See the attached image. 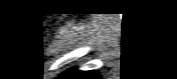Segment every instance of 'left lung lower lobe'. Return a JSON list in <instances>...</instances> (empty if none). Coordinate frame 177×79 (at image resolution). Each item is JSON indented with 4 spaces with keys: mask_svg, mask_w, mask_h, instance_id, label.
<instances>
[{
    "mask_svg": "<svg viewBox=\"0 0 177 79\" xmlns=\"http://www.w3.org/2000/svg\"><path fill=\"white\" fill-rule=\"evenodd\" d=\"M61 79H99L97 73L70 71L65 73Z\"/></svg>",
    "mask_w": 177,
    "mask_h": 79,
    "instance_id": "left-lung-lower-lobe-1",
    "label": "left lung lower lobe"
}]
</instances>
